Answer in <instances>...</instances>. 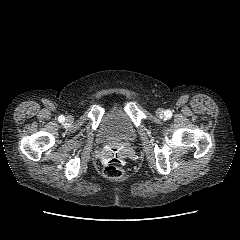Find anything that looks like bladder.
<instances>
[{
	"instance_id": "obj_1",
	"label": "bladder",
	"mask_w": 240,
	"mask_h": 240,
	"mask_svg": "<svg viewBox=\"0 0 240 240\" xmlns=\"http://www.w3.org/2000/svg\"><path fill=\"white\" fill-rule=\"evenodd\" d=\"M137 137L136 128L121 108L109 110L102 118L98 129V140L104 143H131Z\"/></svg>"
}]
</instances>
